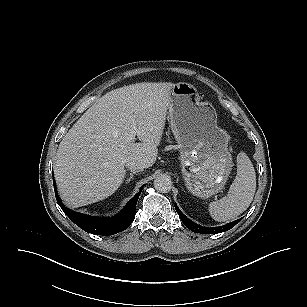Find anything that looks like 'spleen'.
Returning <instances> with one entry per match:
<instances>
[{
  "label": "spleen",
  "instance_id": "1",
  "mask_svg": "<svg viewBox=\"0 0 307 307\" xmlns=\"http://www.w3.org/2000/svg\"><path fill=\"white\" fill-rule=\"evenodd\" d=\"M256 190V173L249 157L244 152L237 155V175L228 194L209 204L211 217L219 222L232 220L251 204Z\"/></svg>",
  "mask_w": 307,
  "mask_h": 307
}]
</instances>
